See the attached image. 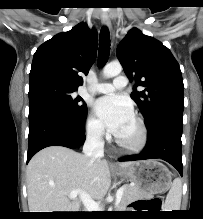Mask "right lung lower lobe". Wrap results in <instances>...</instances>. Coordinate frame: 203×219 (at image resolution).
I'll list each match as a JSON object with an SVG mask.
<instances>
[{
    "instance_id": "obj_1",
    "label": "right lung lower lobe",
    "mask_w": 203,
    "mask_h": 219,
    "mask_svg": "<svg viewBox=\"0 0 203 219\" xmlns=\"http://www.w3.org/2000/svg\"><path fill=\"white\" fill-rule=\"evenodd\" d=\"M85 119L86 114L73 118L48 107H29L27 162L48 146L81 147L85 141Z\"/></svg>"
}]
</instances>
